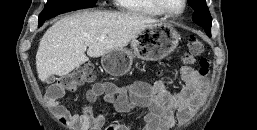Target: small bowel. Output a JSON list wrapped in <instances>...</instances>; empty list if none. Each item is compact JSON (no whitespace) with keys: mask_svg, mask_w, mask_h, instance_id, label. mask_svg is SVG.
<instances>
[{"mask_svg":"<svg viewBox=\"0 0 257 130\" xmlns=\"http://www.w3.org/2000/svg\"><path fill=\"white\" fill-rule=\"evenodd\" d=\"M182 61L176 77V81L182 84L179 91H170L164 81L153 84L135 81L126 86L98 82L86 91L85 99L88 103H94L103 97L114 104L118 114H129L134 109L143 110L140 130H171L176 117L185 118L200 103L208 86L206 78L192 67V57L184 56ZM61 97L52 98L47 93L49 105L59 114L67 116L74 130H134L136 127L133 121L124 123L117 119L108 120L103 114L94 115L87 106L81 113L71 114L60 103Z\"/></svg>","mask_w":257,"mask_h":130,"instance_id":"small-bowel-1","label":"small bowel"}]
</instances>
